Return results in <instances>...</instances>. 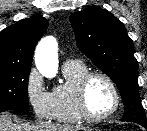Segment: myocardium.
<instances>
[{
	"label": "myocardium",
	"instance_id": "1",
	"mask_svg": "<svg viewBox=\"0 0 147 131\" xmlns=\"http://www.w3.org/2000/svg\"><path fill=\"white\" fill-rule=\"evenodd\" d=\"M95 77L103 78L109 84L114 96V104L112 108L103 115H93L90 113L87 107V102H86L87 86L89 82ZM75 97H76L77 110L81 118L89 122H101L109 119L111 116H113L116 113L121 103V96L116 83L108 74L102 71L86 72L76 84Z\"/></svg>",
	"mask_w": 147,
	"mask_h": 131
}]
</instances>
